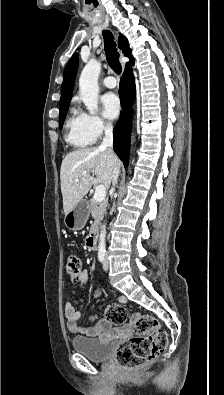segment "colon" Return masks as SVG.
Wrapping results in <instances>:
<instances>
[{"label":"colon","mask_w":224,"mask_h":395,"mask_svg":"<svg viewBox=\"0 0 224 395\" xmlns=\"http://www.w3.org/2000/svg\"><path fill=\"white\" fill-rule=\"evenodd\" d=\"M82 262L76 255L67 259L66 271L72 278L81 274ZM105 319L114 325L127 321V310L117 303L105 306ZM130 325L135 336L122 343L116 352V360L126 369H136L157 358L167 347L168 336L158 321L149 314H134Z\"/></svg>","instance_id":"5ec220e1"}]
</instances>
